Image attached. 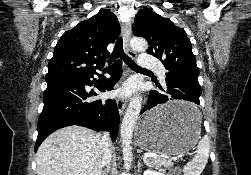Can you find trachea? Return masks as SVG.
I'll return each instance as SVG.
<instances>
[{
	"label": "trachea",
	"instance_id": "1",
	"mask_svg": "<svg viewBox=\"0 0 251 175\" xmlns=\"http://www.w3.org/2000/svg\"><path fill=\"white\" fill-rule=\"evenodd\" d=\"M120 57L132 70H138V71H144V72H150V70H147L146 68L139 67L131 58H129L123 51V40L122 37H119L115 48L113 50V53L111 55V60H114V58ZM106 70V69H104Z\"/></svg>",
	"mask_w": 251,
	"mask_h": 175
}]
</instances>
